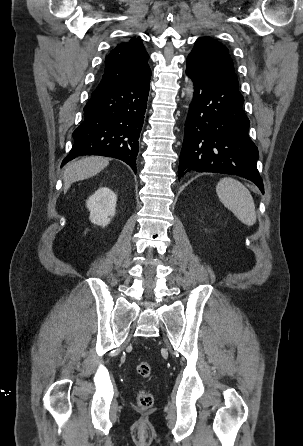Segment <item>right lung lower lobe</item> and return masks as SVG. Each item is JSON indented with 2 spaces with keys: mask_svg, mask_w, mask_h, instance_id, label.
<instances>
[{
  "mask_svg": "<svg viewBox=\"0 0 303 446\" xmlns=\"http://www.w3.org/2000/svg\"><path fill=\"white\" fill-rule=\"evenodd\" d=\"M150 77L92 94L83 122L72 134L74 145L61 166L78 156L102 155L120 159L136 172Z\"/></svg>",
  "mask_w": 303,
  "mask_h": 446,
  "instance_id": "98d812e1",
  "label": "right lung lower lobe"
}]
</instances>
